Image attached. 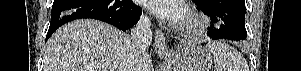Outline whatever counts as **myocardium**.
<instances>
[{
    "label": "myocardium",
    "instance_id": "myocardium-1",
    "mask_svg": "<svg viewBox=\"0 0 301 71\" xmlns=\"http://www.w3.org/2000/svg\"><path fill=\"white\" fill-rule=\"evenodd\" d=\"M185 30L187 31H195L198 30L199 28L202 27V22L200 18L192 11H189L186 14V19H185Z\"/></svg>",
    "mask_w": 301,
    "mask_h": 71
}]
</instances>
